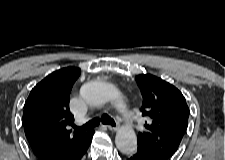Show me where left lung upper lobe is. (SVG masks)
<instances>
[{"label": "left lung upper lobe", "mask_w": 225, "mask_h": 160, "mask_svg": "<svg viewBox=\"0 0 225 160\" xmlns=\"http://www.w3.org/2000/svg\"><path fill=\"white\" fill-rule=\"evenodd\" d=\"M136 81L144 98L141 111L148 117L146 130L137 137L138 149L171 159L186 134V100L176 87L153 75H138Z\"/></svg>", "instance_id": "obj_1"}]
</instances>
